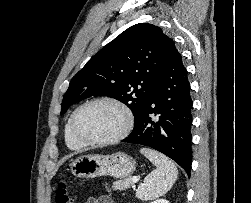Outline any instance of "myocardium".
<instances>
[{
    "instance_id": "myocardium-1",
    "label": "myocardium",
    "mask_w": 251,
    "mask_h": 203,
    "mask_svg": "<svg viewBox=\"0 0 251 203\" xmlns=\"http://www.w3.org/2000/svg\"><path fill=\"white\" fill-rule=\"evenodd\" d=\"M96 103H108V104L116 106L122 111L125 118V122L122 129L116 135L107 139L92 140V139L85 138L77 131L76 121H77V117L79 113L84 108L90 105L96 104ZM133 125H134V116L131 109L122 101L116 98L107 97V96L93 98L91 100L84 102L83 104H81L74 110L70 118V130L74 138L84 145H92V146H107V145L115 144L123 140L130 134L133 128Z\"/></svg>"
}]
</instances>
